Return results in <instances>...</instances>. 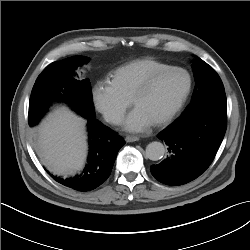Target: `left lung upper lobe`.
Returning a JSON list of instances; mask_svg holds the SVG:
<instances>
[{"label":"left lung upper lobe","instance_id":"5c2ea615","mask_svg":"<svg viewBox=\"0 0 250 250\" xmlns=\"http://www.w3.org/2000/svg\"><path fill=\"white\" fill-rule=\"evenodd\" d=\"M192 68L195 78V88L192 101L185 111L196 107L213 95L225 92L219 75L206 62L197 57L193 62Z\"/></svg>","mask_w":250,"mask_h":250}]
</instances>
